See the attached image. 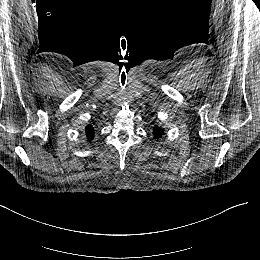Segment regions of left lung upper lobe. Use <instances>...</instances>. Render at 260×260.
<instances>
[{"label":"left lung upper lobe","mask_w":260,"mask_h":260,"mask_svg":"<svg viewBox=\"0 0 260 260\" xmlns=\"http://www.w3.org/2000/svg\"><path fill=\"white\" fill-rule=\"evenodd\" d=\"M153 135L156 139L161 138V136L164 135V130L156 125L153 128Z\"/></svg>","instance_id":"5c2ea615"}]
</instances>
